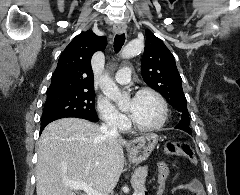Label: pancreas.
Segmentation results:
<instances>
[{
	"instance_id": "cf45deb5",
	"label": "pancreas",
	"mask_w": 240,
	"mask_h": 195,
	"mask_svg": "<svg viewBox=\"0 0 240 195\" xmlns=\"http://www.w3.org/2000/svg\"><path fill=\"white\" fill-rule=\"evenodd\" d=\"M147 173L148 165L137 167L136 171H134V175L131 177V183L135 193H144V191H146L144 183Z\"/></svg>"
}]
</instances>
